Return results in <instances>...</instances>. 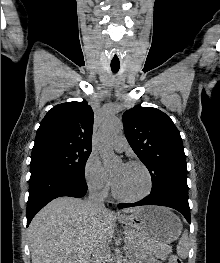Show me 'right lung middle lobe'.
I'll list each match as a JSON object with an SVG mask.
<instances>
[{"mask_svg":"<svg viewBox=\"0 0 220 263\" xmlns=\"http://www.w3.org/2000/svg\"><path fill=\"white\" fill-rule=\"evenodd\" d=\"M91 149L49 148L31 154L30 166H48L77 176H84L85 163Z\"/></svg>","mask_w":220,"mask_h":263,"instance_id":"right-lung-middle-lobe-1","label":"right lung middle lobe"}]
</instances>
